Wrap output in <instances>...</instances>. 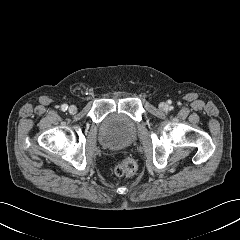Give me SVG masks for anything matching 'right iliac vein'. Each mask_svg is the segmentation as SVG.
Wrapping results in <instances>:
<instances>
[{
	"mask_svg": "<svg viewBox=\"0 0 240 240\" xmlns=\"http://www.w3.org/2000/svg\"><path fill=\"white\" fill-rule=\"evenodd\" d=\"M68 111L70 114H75L77 112V107L75 105H71Z\"/></svg>",
	"mask_w": 240,
	"mask_h": 240,
	"instance_id": "63e3f726",
	"label": "right iliac vein"
}]
</instances>
